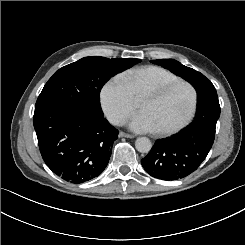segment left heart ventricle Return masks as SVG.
Returning a JSON list of instances; mask_svg holds the SVG:
<instances>
[{
	"label": "left heart ventricle",
	"instance_id": "left-heart-ventricle-1",
	"mask_svg": "<svg viewBox=\"0 0 245 245\" xmlns=\"http://www.w3.org/2000/svg\"><path fill=\"white\" fill-rule=\"evenodd\" d=\"M191 105V93L186 86H179L163 99L152 94L137 102L138 111L145 112L158 130L169 129L181 122Z\"/></svg>",
	"mask_w": 245,
	"mask_h": 245
}]
</instances>
